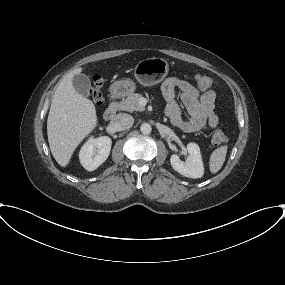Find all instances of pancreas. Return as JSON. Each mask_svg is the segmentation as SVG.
Returning <instances> with one entry per match:
<instances>
[{
    "mask_svg": "<svg viewBox=\"0 0 285 285\" xmlns=\"http://www.w3.org/2000/svg\"><path fill=\"white\" fill-rule=\"evenodd\" d=\"M142 97L141 94L131 93L127 98L122 99L120 102H116L115 106L123 111H144L145 107L139 104V99Z\"/></svg>",
    "mask_w": 285,
    "mask_h": 285,
    "instance_id": "pancreas-1",
    "label": "pancreas"
}]
</instances>
